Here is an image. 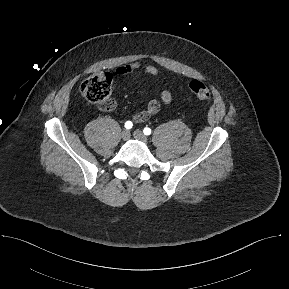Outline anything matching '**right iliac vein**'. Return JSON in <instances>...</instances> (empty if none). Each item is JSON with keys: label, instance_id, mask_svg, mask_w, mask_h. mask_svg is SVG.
I'll list each match as a JSON object with an SVG mask.
<instances>
[{"label": "right iliac vein", "instance_id": "63e3f726", "mask_svg": "<svg viewBox=\"0 0 289 289\" xmlns=\"http://www.w3.org/2000/svg\"><path fill=\"white\" fill-rule=\"evenodd\" d=\"M121 137L123 140H128L130 138V131L129 130H123L121 133Z\"/></svg>", "mask_w": 289, "mask_h": 289}]
</instances>
